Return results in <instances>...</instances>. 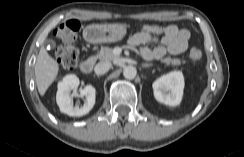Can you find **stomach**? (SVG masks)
<instances>
[{
  "label": "stomach",
  "instance_id": "obj_1",
  "mask_svg": "<svg viewBox=\"0 0 244 157\" xmlns=\"http://www.w3.org/2000/svg\"><path fill=\"white\" fill-rule=\"evenodd\" d=\"M125 35L124 24H91L84 29V38L93 44L117 42Z\"/></svg>",
  "mask_w": 244,
  "mask_h": 157
}]
</instances>
